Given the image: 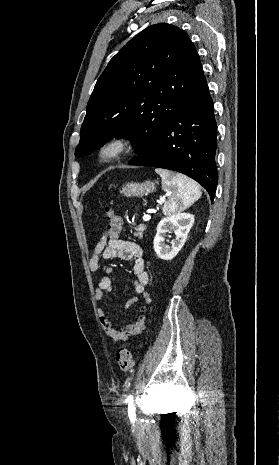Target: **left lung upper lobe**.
I'll list each match as a JSON object with an SVG mask.
<instances>
[{
    "label": "left lung upper lobe",
    "mask_w": 279,
    "mask_h": 465,
    "mask_svg": "<svg viewBox=\"0 0 279 465\" xmlns=\"http://www.w3.org/2000/svg\"><path fill=\"white\" fill-rule=\"evenodd\" d=\"M201 67L193 42L178 27L160 23L130 40L98 79L80 129L76 155L126 136L148 150L187 98Z\"/></svg>",
    "instance_id": "5c2ea615"
}]
</instances>
